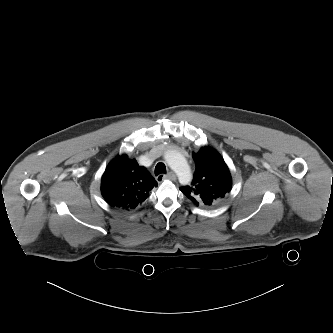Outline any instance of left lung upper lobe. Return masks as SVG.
Segmentation results:
<instances>
[{
  "mask_svg": "<svg viewBox=\"0 0 333 333\" xmlns=\"http://www.w3.org/2000/svg\"><path fill=\"white\" fill-rule=\"evenodd\" d=\"M196 164L191 186L180 190L193 203L214 207L224 202L232 187L229 169L220 154L208 146L193 153Z\"/></svg>",
  "mask_w": 333,
  "mask_h": 333,
  "instance_id": "left-lung-upper-lobe-1",
  "label": "left lung upper lobe"
}]
</instances>
